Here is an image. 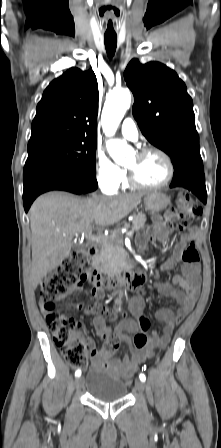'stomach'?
<instances>
[{
    "mask_svg": "<svg viewBox=\"0 0 221 448\" xmlns=\"http://www.w3.org/2000/svg\"><path fill=\"white\" fill-rule=\"evenodd\" d=\"M169 203L170 198L160 192H152L144 196L145 209L152 213H158L164 210Z\"/></svg>",
    "mask_w": 221,
    "mask_h": 448,
    "instance_id": "stomach-1",
    "label": "stomach"
}]
</instances>
